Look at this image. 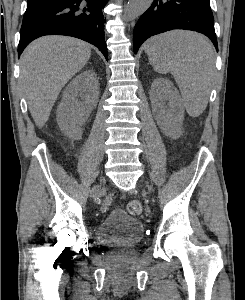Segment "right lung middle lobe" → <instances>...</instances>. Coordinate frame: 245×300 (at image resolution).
<instances>
[{"label": "right lung middle lobe", "instance_id": "1", "mask_svg": "<svg viewBox=\"0 0 245 300\" xmlns=\"http://www.w3.org/2000/svg\"><path fill=\"white\" fill-rule=\"evenodd\" d=\"M43 1H45V0H43ZM39 2H42V1H39ZM39 2H31V1H27V7H28V6H32V5H34V4H37V3H39Z\"/></svg>", "mask_w": 245, "mask_h": 300}]
</instances>
